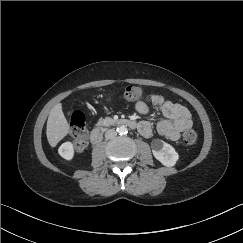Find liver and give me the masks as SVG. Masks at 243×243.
<instances>
[{"instance_id":"6515ba94","label":"liver","mask_w":243,"mask_h":243,"mask_svg":"<svg viewBox=\"0 0 243 243\" xmlns=\"http://www.w3.org/2000/svg\"><path fill=\"white\" fill-rule=\"evenodd\" d=\"M69 133V124L62 111V104L57 103L50 111L47 120L46 136L51 147H55Z\"/></svg>"}]
</instances>
